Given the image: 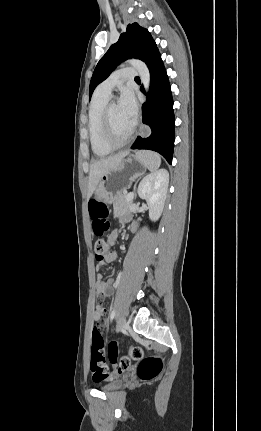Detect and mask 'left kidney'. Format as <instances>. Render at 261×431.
<instances>
[{"mask_svg": "<svg viewBox=\"0 0 261 431\" xmlns=\"http://www.w3.org/2000/svg\"><path fill=\"white\" fill-rule=\"evenodd\" d=\"M168 183V171L159 169L147 175L139 184V197L146 200L149 207V218L152 221H157L163 212Z\"/></svg>", "mask_w": 261, "mask_h": 431, "instance_id": "1", "label": "left kidney"}]
</instances>
